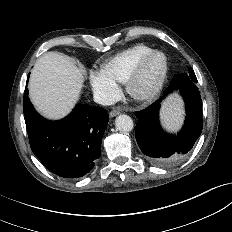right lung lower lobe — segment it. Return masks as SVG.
I'll use <instances>...</instances> for the list:
<instances>
[{"label": "right lung lower lobe", "mask_w": 232, "mask_h": 232, "mask_svg": "<svg viewBox=\"0 0 232 232\" xmlns=\"http://www.w3.org/2000/svg\"><path fill=\"white\" fill-rule=\"evenodd\" d=\"M23 111L30 147L48 170L64 178H79L92 170L109 119L105 109L77 104L64 119L49 121L36 112L26 89Z\"/></svg>", "instance_id": "obj_1"}]
</instances>
